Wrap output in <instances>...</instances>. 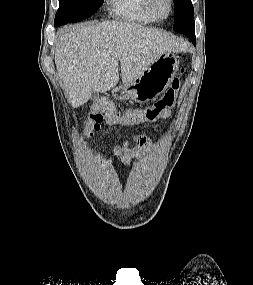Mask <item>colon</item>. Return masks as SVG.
Returning a JSON list of instances; mask_svg holds the SVG:
<instances>
[{"mask_svg":"<svg viewBox=\"0 0 253 285\" xmlns=\"http://www.w3.org/2000/svg\"><path fill=\"white\" fill-rule=\"evenodd\" d=\"M184 72V68L181 69V73ZM181 86L179 78L174 79L172 86L168 91L153 105L145 109H132L127 110L123 114H120L115 107L107 101H99L93 105L92 111L87 119V137H96L97 131L100 128L103 120H106L110 124L122 123L125 125H135L145 121H153L162 116V114L173 105L176 95L178 94ZM82 150L86 155H91V147L83 146ZM94 160H84L81 164L82 168H90L94 165Z\"/></svg>","mask_w":253,"mask_h":285,"instance_id":"colon-1","label":"colon"}]
</instances>
